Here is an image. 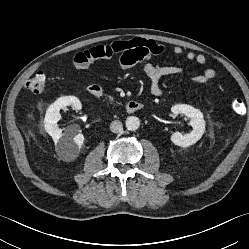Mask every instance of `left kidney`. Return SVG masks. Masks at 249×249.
Segmentation results:
<instances>
[{"mask_svg": "<svg viewBox=\"0 0 249 249\" xmlns=\"http://www.w3.org/2000/svg\"><path fill=\"white\" fill-rule=\"evenodd\" d=\"M171 111L175 115L184 114L191 118L190 125L193 128L190 133L184 135L179 132L173 133L170 139L175 145L189 147L201 139L205 132V121L199 109L187 104H177L171 107Z\"/></svg>", "mask_w": 249, "mask_h": 249, "instance_id": "1", "label": "left kidney"}]
</instances>
